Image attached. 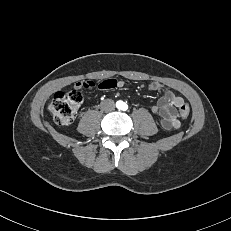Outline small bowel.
<instances>
[{
  "mask_svg": "<svg viewBox=\"0 0 231 231\" xmlns=\"http://www.w3.org/2000/svg\"><path fill=\"white\" fill-rule=\"evenodd\" d=\"M93 85L91 82L82 81L76 84L77 88H87ZM124 86L123 81H117L116 79H106L100 82L99 87L104 90L113 88H121ZM150 91H158L163 89V85L160 82L152 81L148 84ZM185 100L176 95L171 90L166 89L164 94L159 98L156 105L151 107V112L157 114L159 117V124L164 129H178L181 126V121L178 117L177 109Z\"/></svg>",
  "mask_w": 231,
  "mask_h": 231,
  "instance_id": "small-bowel-1",
  "label": "small bowel"
}]
</instances>
